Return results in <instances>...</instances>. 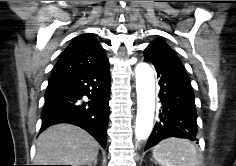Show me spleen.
<instances>
[{
	"instance_id": "spleen-1",
	"label": "spleen",
	"mask_w": 236,
	"mask_h": 166,
	"mask_svg": "<svg viewBox=\"0 0 236 166\" xmlns=\"http://www.w3.org/2000/svg\"><path fill=\"white\" fill-rule=\"evenodd\" d=\"M153 157L161 166H198L196 148L187 140L168 138L153 149Z\"/></svg>"
}]
</instances>
